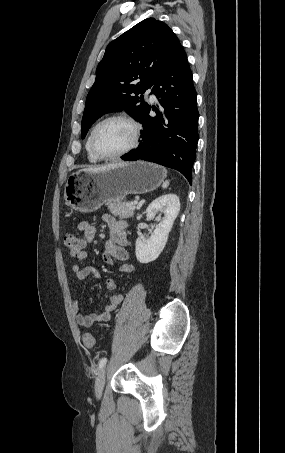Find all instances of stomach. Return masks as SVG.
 Returning <instances> with one entry per match:
<instances>
[{"label":"stomach","mask_w":285,"mask_h":453,"mask_svg":"<svg viewBox=\"0 0 285 453\" xmlns=\"http://www.w3.org/2000/svg\"><path fill=\"white\" fill-rule=\"evenodd\" d=\"M167 170L157 164L135 161L114 164L97 172L77 171L65 186L66 205L88 213L104 203L121 202L129 194H145L164 181Z\"/></svg>","instance_id":"1"}]
</instances>
